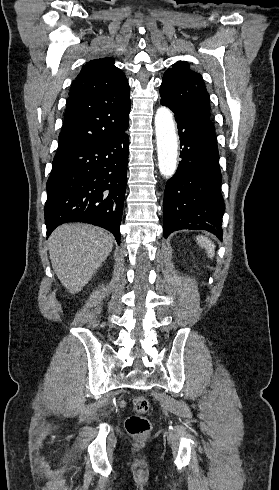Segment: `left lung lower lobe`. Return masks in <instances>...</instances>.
<instances>
[{
	"label": "left lung lower lobe",
	"mask_w": 279,
	"mask_h": 490,
	"mask_svg": "<svg viewBox=\"0 0 279 490\" xmlns=\"http://www.w3.org/2000/svg\"><path fill=\"white\" fill-rule=\"evenodd\" d=\"M168 107L178 124L182 160L165 187L164 237L181 229H201L222 241L225 204L213 122Z\"/></svg>",
	"instance_id": "left-lung-lower-lobe-1"
}]
</instances>
